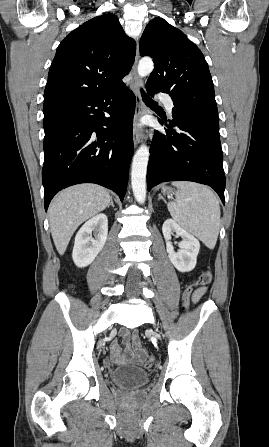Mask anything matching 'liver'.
<instances>
[{"label":"liver","mask_w":269,"mask_h":447,"mask_svg":"<svg viewBox=\"0 0 269 447\" xmlns=\"http://www.w3.org/2000/svg\"><path fill=\"white\" fill-rule=\"evenodd\" d=\"M110 198L108 190L96 184L71 186L57 194L49 214L53 241L60 255H63L78 225L103 212L109 206Z\"/></svg>","instance_id":"liver-1"}]
</instances>
